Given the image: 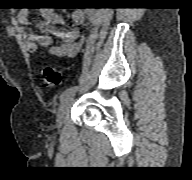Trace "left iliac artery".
<instances>
[{"instance_id": "1", "label": "left iliac artery", "mask_w": 192, "mask_h": 180, "mask_svg": "<svg viewBox=\"0 0 192 180\" xmlns=\"http://www.w3.org/2000/svg\"><path fill=\"white\" fill-rule=\"evenodd\" d=\"M76 86H72L67 88L66 90H64L62 92V94L60 95V101H64L67 97H69L75 90H76Z\"/></svg>"}]
</instances>
